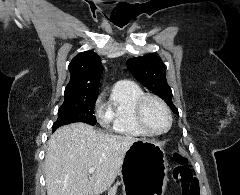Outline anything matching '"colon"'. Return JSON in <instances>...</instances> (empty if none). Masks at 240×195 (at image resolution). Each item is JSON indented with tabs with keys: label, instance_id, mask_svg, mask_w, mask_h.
Masks as SVG:
<instances>
[{
	"label": "colon",
	"instance_id": "5ec220e1",
	"mask_svg": "<svg viewBox=\"0 0 240 195\" xmlns=\"http://www.w3.org/2000/svg\"><path fill=\"white\" fill-rule=\"evenodd\" d=\"M177 159L182 161L180 155H177ZM175 177L179 181L183 195H199L198 179L192 175L188 168L180 166L175 172Z\"/></svg>",
	"mask_w": 240,
	"mask_h": 195
}]
</instances>
